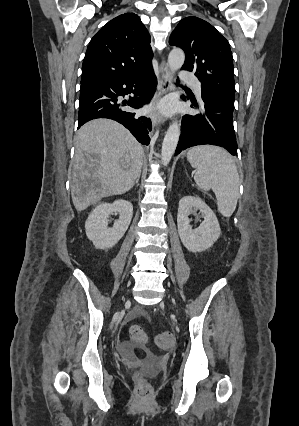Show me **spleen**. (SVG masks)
Segmentation results:
<instances>
[{
	"label": "spleen",
	"instance_id": "spleen-1",
	"mask_svg": "<svg viewBox=\"0 0 299 426\" xmlns=\"http://www.w3.org/2000/svg\"><path fill=\"white\" fill-rule=\"evenodd\" d=\"M187 159L196 169L194 180L199 188L212 189L219 212L231 216L239 195V175L233 158L219 147L205 145L191 148Z\"/></svg>",
	"mask_w": 299,
	"mask_h": 426
}]
</instances>
